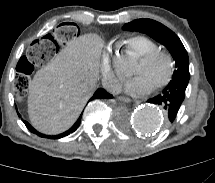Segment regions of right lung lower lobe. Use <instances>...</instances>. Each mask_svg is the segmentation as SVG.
I'll use <instances>...</instances> for the list:
<instances>
[{"label":"right lung lower lobe","instance_id":"98d812e1","mask_svg":"<svg viewBox=\"0 0 215 183\" xmlns=\"http://www.w3.org/2000/svg\"><path fill=\"white\" fill-rule=\"evenodd\" d=\"M113 96L110 95L109 93H107L104 89L102 88H98L96 90V92L94 93V95L91 97L90 100H93V99H110L112 98ZM19 115V114H18ZM24 124L26 125V127L32 132V133H35L37 135H39L40 137H47V138H51V139H59V138H62L64 136H67L69 135L70 133H73L80 125V122H81V116L79 117V119L76 121V123L66 132L62 133V134H59L57 136H47V135H44V134H41L39 133L38 131H36L28 122L26 121H23Z\"/></svg>","mask_w":215,"mask_h":183}]
</instances>
